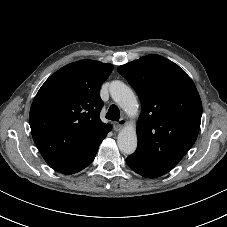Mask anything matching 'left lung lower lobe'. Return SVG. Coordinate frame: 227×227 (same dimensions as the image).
<instances>
[{"label": "left lung lower lobe", "mask_w": 227, "mask_h": 227, "mask_svg": "<svg viewBox=\"0 0 227 227\" xmlns=\"http://www.w3.org/2000/svg\"><path fill=\"white\" fill-rule=\"evenodd\" d=\"M126 163L133 171L146 178H156L168 173L171 170L170 168L161 167L148 163L134 155H130L126 159Z\"/></svg>", "instance_id": "0a47b994"}]
</instances>
